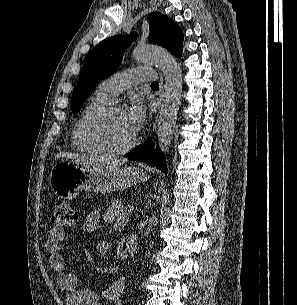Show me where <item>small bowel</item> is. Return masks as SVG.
<instances>
[{"mask_svg":"<svg viewBox=\"0 0 297 305\" xmlns=\"http://www.w3.org/2000/svg\"><path fill=\"white\" fill-rule=\"evenodd\" d=\"M100 226L99 211L89 213L84 221L83 232L93 234ZM64 230L50 228L45 247L50 254L49 263L56 274L57 283L66 292V305H123L122 292L125 288L126 278L121 277L103 289L99 294L91 290L78 288L77 277L67 270L66 259L61 252ZM94 248L98 254H106L109 244L103 240H94Z\"/></svg>","mask_w":297,"mask_h":305,"instance_id":"obj_1","label":"small bowel"}]
</instances>
